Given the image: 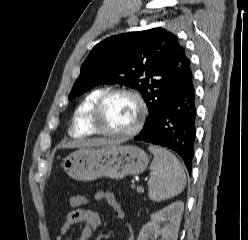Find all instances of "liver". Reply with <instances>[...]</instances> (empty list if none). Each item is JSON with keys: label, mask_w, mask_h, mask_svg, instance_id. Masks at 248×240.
Here are the masks:
<instances>
[{"label": "liver", "mask_w": 248, "mask_h": 240, "mask_svg": "<svg viewBox=\"0 0 248 240\" xmlns=\"http://www.w3.org/2000/svg\"><path fill=\"white\" fill-rule=\"evenodd\" d=\"M113 144H114L113 141H109L105 139H90L82 142L66 143L63 145V147L64 148L83 147L84 149H92V147H105Z\"/></svg>", "instance_id": "obj_1"}]
</instances>
